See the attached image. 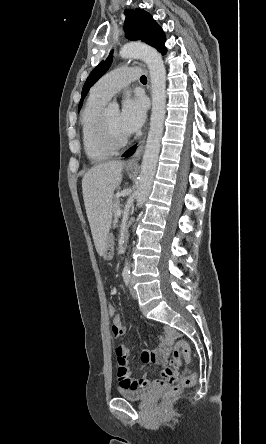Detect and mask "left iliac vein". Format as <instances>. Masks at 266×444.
<instances>
[{
	"label": "left iliac vein",
	"instance_id": "left-iliac-vein-1",
	"mask_svg": "<svg viewBox=\"0 0 266 444\" xmlns=\"http://www.w3.org/2000/svg\"><path fill=\"white\" fill-rule=\"evenodd\" d=\"M130 293H131V295H132V297L134 299L137 298V293H136L135 289L133 288V282L132 281L130 282Z\"/></svg>",
	"mask_w": 266,
	"mask_h": 444
}]
</instances>
